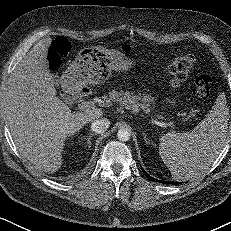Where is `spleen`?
<instances>
[{
  "mask_svg": "<svg viewBox=\"0 0 231 231\" xmlns=\"http://www.w3.org/2000/svg\"><path fill=\"white\" fill-rule=\"evenodd\" d=\"M226 98L221 94L206 117L192 130L162 139L159 154L176 181L192 179L207 170L225 145L229 121Z\"/></svg>",
  "mask_w": 231,
  "mask_h": 231,
  "instance_id": "spleen-1",
  "label": "spleen"
}]
</instances>
